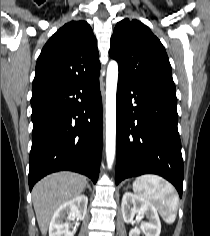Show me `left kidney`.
Returning <instances> with one entry per match:
<instances>
[{
    "instance_id": "obj_1",
    "label": "left kidney",
    "mask_w": 210,
    "mask_h": 236,
    "mask_svg": "<svg viewBox=\"0 0 210 236\" xmlns=\"http://www.w3.org/2000/svg\"><path fill=\"white\" fill-rule=\"evenodd\" d=\"M121 211L126 223L132 222L135 214L138 219L147 217V222H141L140 227L146 228V236H159L161 232V223L155 207L140 196L126 192L122 197ZM129 236H140V229L134 228L129 232Z\"/></svg>"
}]
</instances>
